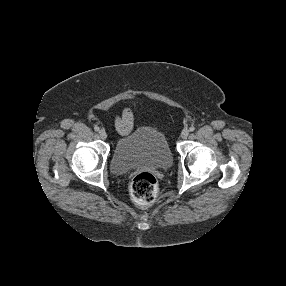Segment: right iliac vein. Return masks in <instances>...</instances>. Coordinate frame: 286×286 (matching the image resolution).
I'll use <instances>...</instances> for the list:
<instances>
[{
    "instance_id": "right-iliac-vein-1",
    "label": "right iliac vein",
    "mask_w": 286,
    "mask_h": 286,
    "mask_svg": "<svg viewBox=\"0 0 286 286\" xmlns=\"http://www.w3.org/2000/svg\"><path fill=\"white\" fill-rule=\"evenodd\" d=\"M99 135H100L101 139H103V140H105L107 138V133L104 129H101L99 131Z\"/></svg>"
}]
</instances>
